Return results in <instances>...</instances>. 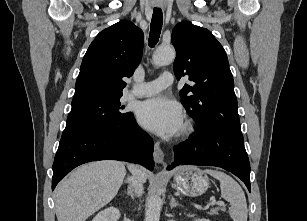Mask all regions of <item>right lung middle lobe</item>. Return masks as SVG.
Here are the masks:
<instances>
[{
  "mask_svg": "<svg viewBox=\"0 0 307 221\" xmlns=\"http://www.w3.org/2000/svg\"><path fill=\"white\" fill-rule=\"evenodd\" d=\"M120 97L92 99L72 103L62 137L125 119L131 112H124Z\"/></svg>",
  "mask_w": 307,
  "mask_h": 221,
  "instance_id": "right-lung-middle-lobe-1",
  "label": "right lung middle lobe"
}]
</instances>
